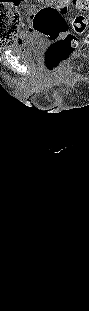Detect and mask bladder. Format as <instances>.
<instances>
[{"label":"bladder","instance_id":"bladder-1","mask_svg":"<svg viewBox=\"0 0 89 311\" xmlns=\"http://www.w3.org/2000/svg\"><path fill=\"white\" fill-rule=\"evenodd\" d=\"M10 49L17 52L24 60L33 62L41 56L43 43L33 37H26L22 42L12 44Z\"/></svg>","mask_w":89,"mask_h":311}]
</instances>
